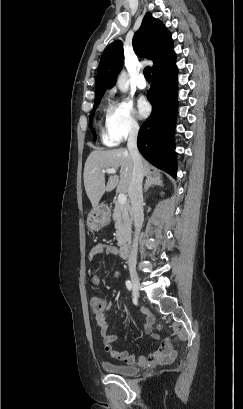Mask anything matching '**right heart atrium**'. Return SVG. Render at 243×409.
<instances>
[{"label":"right heart atrium","instance_id":"obj_1","mask_svg":"<svg viewBox=\"0 0 243 409\" xmlns=\"http://www.w3.org/2000/svg\"><path fill=\"white\" fill-rule=\"evenodd\" d=\"M106 128L115 142L122 141L137 133L139 124L134 117L130 102L125 99H117L111 103L107 110Z\"/></svg>","mask_w":243,"mask_h":409}]
</instances>
